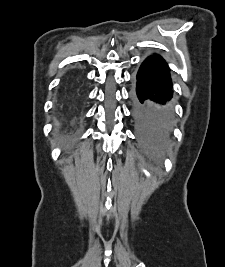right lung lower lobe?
<instances>
[{"label":"right lung lower lobe","mask_w":225,"mask_h":267,"mask_svg":"<svg viewBox=\"0 0 225 267\" xmlns=\"http://www.w3.org/2000/svg\"><path fill=\"white\" fill-rule=\"evenodd\" d=\"M80 81H81V77L78 76V75H76V76L70 78V79L68 80V88L73 89V88L77 87V85L79 84ZM72 103H73V102H72L71 98H69V99H68V105L71 106Z\"/></svg>","instance_id":"obj_1"}]
</instances>
